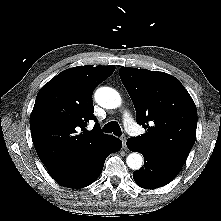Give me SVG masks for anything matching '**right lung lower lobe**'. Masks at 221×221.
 <instances>
[{"mask_svg":"<svg viewBox=\"0 0 221 221\" xmlns=\"http://www.w3.org/2000/svg\"><path fill=\"white\" fill-rule=\"evenodd\" d=\"M122 142L116 137L97 148L85 159L80 161L73 169L55 180L64 187L82 188L94 182L104 166L105 159L113 152L121 149Z\"/></svg>","mask_w":221,"mask_h":221,"instance_id":"right-lung-lower-lobe-1","label":"right lung lower lobe"}]
</instances>
